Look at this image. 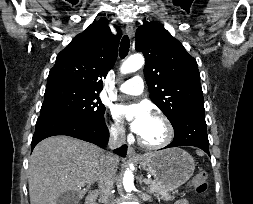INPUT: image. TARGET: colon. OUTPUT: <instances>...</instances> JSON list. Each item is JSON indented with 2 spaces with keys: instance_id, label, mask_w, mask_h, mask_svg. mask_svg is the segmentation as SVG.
Returning <instances> with one entry per match:
<instances>
[{
  "instance_id": "obj_1",
  "label": "colon",
  "mask_w": 253,
  "mask_h": 204,
  "mask_svg": "<svg viewBox=\"0 0 253 204\" xmlns=\"http://www.w3.org/2000/svg\"><path fill=\"white\" fill-rule=\"evenodd\" d=\"M192 184L195 188V191L198 194L204 196L207 194L208 183H207V174L205 172H200L196 174L192 179Z\"/></svg>"
}]
</instances>
